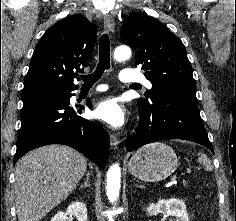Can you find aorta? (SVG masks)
<instances>
[{
	"mask_svg": "<svg viewBox=\"0 0 236 221\" xmlns=\"http://www.w3.org/2000/svg\"><path fill=\"white\" fill-rule=\"evenodd\" d=\"M131 56V50L128 46H119L114 51V58L118 61H124ZM121 169L119 164H113L107 172V197L111 203L116 202L120 192Z\"/></svg>",
	"mask_w": 236,
	"mask_h": 221,
	"instance_id": "1",
	"label": "aorta"
}]
</instances>
